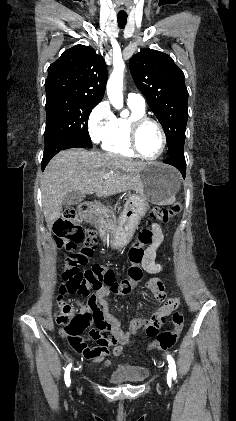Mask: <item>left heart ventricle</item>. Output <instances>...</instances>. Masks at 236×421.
<instances>
[{"label":"left heart ventricle","instance_id":"left-heart-ventricle-1","mask_svg":"<svg viewBox=\"0 0 236 421\" xmlns=\"http://www.w3.org/2000/svg\"><path fill=\"white\" fill-rule=\"evenodd\" d=\"M140 152L147 157H154L161 148V136L153 124L147 122L140 126L137 133Z\"/></svg>","mask_w":236,"mask_h":421}]
</instances>
